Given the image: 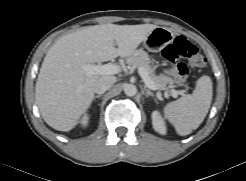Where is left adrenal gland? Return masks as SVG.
<instances>
[{
	"mask_svg": "<svg viewBox=\"0 0 246 181\" xmlns=\"http://www.w3.org/2000/svg\"><path fill=\"white\" fill-rule=\"evenodd\" d=\"M143 91L146 92V96H151L156 101V98H155L154 94L151 91H149L146 88H144Z\"/></svg>",
	"mask_w": 246,
	"mask_h": 181,
	"instance_id": "obj_1",
	"label": "left adrenal gland"
}]
</instances>
